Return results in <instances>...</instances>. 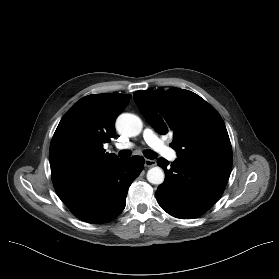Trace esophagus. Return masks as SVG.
I'll return each instance as SVG.
<instances>
[{"label": "esophagus", "instance_id": "1", "mask_svg": "<svg viewBox=\"0 0 279 279\" xmlns=\"http://www.w3.org/2000/svg\"><path fill=\"white\" fill-rule=\"evenodd\" d=\"M156 165V160L145 159V166L146 167H153Z\"/></svg>", "mask_w": 279, "mask_h": 279}]
</instances>
